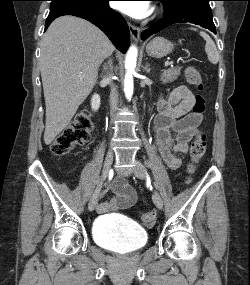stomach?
Returning <instances> with one entry per match:
<instances>
[{"instance_id":"0dacf381","label":"stomach","mask_w":250,"mask_h":285,"mask_svg":"<svg viewBox=\"0 0 250 285\" xmlns=\"http://www.w3.org/2000/svg\"><path fill=\"white\" fill-rule=\"evenodd\" d=\"M174 44L163 37H155L146 45L149 56L161 58L172 52Z\"/></svg>"}]
</instances>
